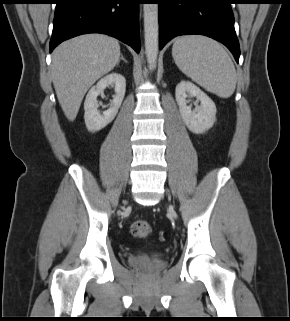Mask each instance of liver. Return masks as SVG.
<instances>
[{"mask_svg": "<svg viewBox=\"0 0 290 321\" xmlns=\"http://www.w3.org/2000/svg\"><path fill=\"white\" fill-rule=\"evenodd\" d=\"M120 45L113 37L85 34L61 43L54 51L51 76L65 116L73 121L88 89L119 62Z\"/></svg>", "mask_w": 290, "mask_h": 321, "instance_id": "6515ba94", "label": "liver"}]
</instances>
